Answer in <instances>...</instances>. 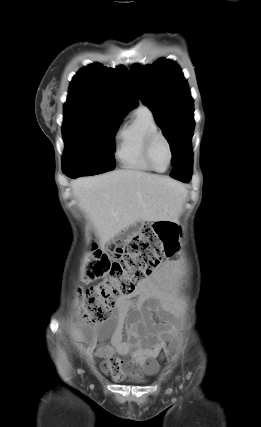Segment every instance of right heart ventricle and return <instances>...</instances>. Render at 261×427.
Instances as JSON below:
<instances>
[{"label":"right heart ventricle","mask_w":261,"mask_h":427,"mask_svg":"<svg viewBox=\"0 0 261 427\" xmlns=\"http://www.w3.org/2000/svg\"><path fill=\"white\" fill-rule=\"evenodd\" d=\"M156 130L158 126L152 112L144 106L138 107L117 134L115 157L123 168L152 171L144 158V143L146 137Z\"/></svg>","instance_id":"e07e8e85"}]
</instances>
